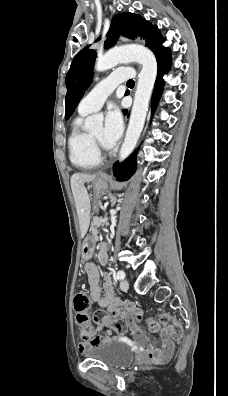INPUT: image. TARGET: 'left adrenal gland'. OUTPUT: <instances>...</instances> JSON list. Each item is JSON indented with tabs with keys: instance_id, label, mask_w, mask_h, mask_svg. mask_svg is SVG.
Wrapping results in <instances>:
<instances>
[{
	"instance_id": "left-adrenal-gland-1",
	"label": "left adrenal gland",
	"mask_w": 228,
	"mask_h": 396,
	"mask_svg": "<svg viewBox=\"0 0 228 396\" xmlns=\"http://www.w3.org/2000/svg\"><path fill=\"white\" fill-rule=\"evenodd\" d=\"M116 201H117L116 197H114L113 195H110V202H111L112 207L115 205Z\"/></svg>"
}]
</instances>
